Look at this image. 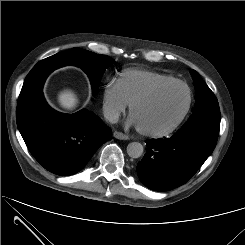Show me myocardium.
Instances as JSON below:
<instances>
[{
	"mask_svg": "<svg viewBox=\"0 0 245 245\" xmlns=\"http://www.w3.org/2000/svg\"><path fill=\"white\" fill-rule=\"evenodd\" d=\"M182 85L183 87L186 88L187 90V94H188V100H187V104L185 109L183 110V112L181 113V115L179 116V118L168 128L160 130V131H147L144 129H141L138 127V131L146 136V137H150V138H163L166 136H169L170 134H172L173 132H175L179 126L183 123V121L185 120V118L187 117V115L189 114L191 107H192V102H193V94H192V90L189 87V85L181 80L178 79H172L163 83H160L156 86H154L153 88H151L150 90H148L147 92H145L144 94L138 96L137 98H135L129 106V113L130 115H132L134 108L141 104L144 103L150 99H152L154 96H156L161 90L171 86V85Z\"/></svg>",
	"mask_w": 245,
	"mask_h": 245,
	"instance_id": "obj_1",
	"label": "myocardium"
}]
</instances>
